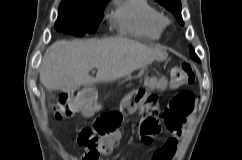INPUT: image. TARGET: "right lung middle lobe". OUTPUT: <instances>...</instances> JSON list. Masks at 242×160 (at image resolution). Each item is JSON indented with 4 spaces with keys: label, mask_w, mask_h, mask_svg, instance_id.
Returning <instances> with one entry per match:
<instances>
[{
    "label": "right lung middle lobe",
    "mask_w": 242,
    "mask_h": 160,
    "mask_svg": "<svg viewBox=\"0 0 242 160\" xmlns=\"http://www.w3.org/2000/svg\"><path fill=\"white\" fill-rule=\"evenodd\" d=\"M109 0L64 2L59 5L55 28L64 33L82 36L97 30L102 11Z\"/></svg>",
    "instance_id": "1"
}]
</instances>
